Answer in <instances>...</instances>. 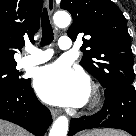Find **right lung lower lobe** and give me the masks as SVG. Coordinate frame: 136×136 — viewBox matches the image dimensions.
<instances>
[{
	"mask_svg": "<svg viewBox=\"0 0 136 136\" xmlns=\"http://www.w3.org/2000/svg\"><path fill=\"white\" fill-rule=\"evenodd\" d=\"M0 119L13 122L36 136H43L52 123L50 111L38 101L30 79H24L14 89L0 90Z\"/></svg>",
	"mask_w": 136,
	"mask_h": 136,
	"instance_id": "obj_1",
	"label": "right lung lower lobe"
}]
</instances>
